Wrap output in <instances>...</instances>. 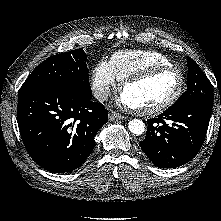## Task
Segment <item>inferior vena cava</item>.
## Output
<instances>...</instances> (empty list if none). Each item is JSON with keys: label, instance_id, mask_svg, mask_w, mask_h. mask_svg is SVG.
Here are the masks:
<instances>
[{"label": "inferior vena cava", "instance_id": "602c4592", "mask_svg": "<svg viewBox=\"0 0 221 221\" xmlns=\"http://www.w3.org/2000/svg\"><path fill=\"white\" fill-rule=\"evenodd\" d=\"M94 96L99 101H105L109 96L108 87H104V88H101V89L95 91Z\"/></svg>", "mask_w": 221, "mask_h": 221}]
</instances>
